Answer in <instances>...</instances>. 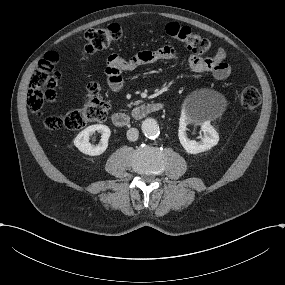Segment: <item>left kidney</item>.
Returning a JSON list of instances; mask_svg holds the SVG:
<instances>
[{"label": "left kidney", "mask_w": 285, "mask_h": 285, "mask_svg": "<svg viewBox=\"0 0 285 285\" xmlns=\"http://www.w3.org/2000/svg\"><path fill=\"white\" fill-rule=\"evenodd\" d=\"M201 130L205 133V138L201 143H197L194 140H190L187 137V123L181 122L178 130V137L180 144L184 148L185 152L189 155H197L211 150L219 142V135L215 128L209 121H203L201 123Z\"/></svg>", "instance_id": "5707ae66"}]
</instances>
